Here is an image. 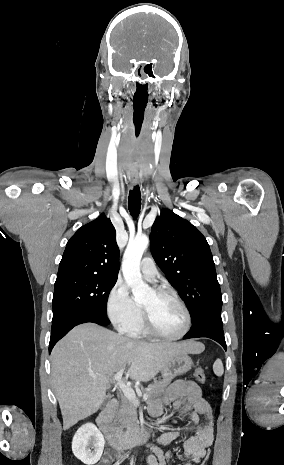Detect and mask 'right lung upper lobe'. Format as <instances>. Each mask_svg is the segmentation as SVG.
Returning a JSON list of instances; mask_svg holds the SVG:
<instances>
[{
	"mask_svg": "<svg viewBox=\"0 0 284 465\" xmlns=\"http://www.w3.org/2000/svg\"><path fill=\"white\" fill-rule=\"evenodd\" d=\"M119 248L116 231L104 214L82 226L68 241L57 278L82 275L116 278Z\"/></svg>",
	"mask_w": 284,
	"mask_h": 465,
	"instance_id": "1",
	"label": "right lung upper lobe"
}]
</instances>
